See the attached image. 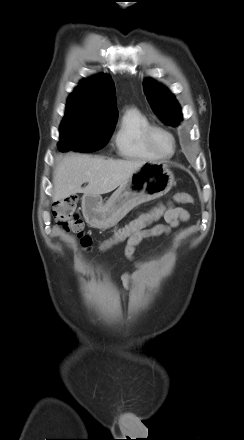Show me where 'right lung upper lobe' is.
Segmentation results:
<instances>
[{"label": "right lung upper lobe", "instance_id": "right-lung-upper-lobe-1", "mask_svg": "<svg viewBox=\"0 0 244 440\" xmlns=\"http://www.w3.org/2000/svg\"><path fill=\"white\" fill-rule=\"evenodd\" d=\"M114 83L108 75L82 80L69 96L63 122L116 123L118 111Z\"/></svg>", "mask_w": 244, "mask_h": 440}]
</instances>
